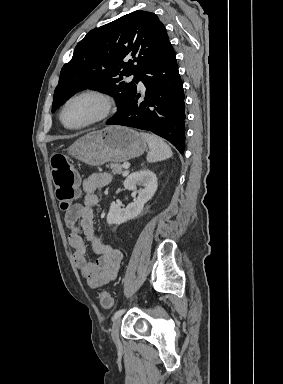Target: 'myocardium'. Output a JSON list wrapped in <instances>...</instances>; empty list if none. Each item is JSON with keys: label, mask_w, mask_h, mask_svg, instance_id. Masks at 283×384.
Returning <instances> with one entry per match:
<instances>
[{"label": "myocardium", "mask_w": 283, "mask_h": 384, "mask_svg": "<svg viewBox=\"0 0 283 384\" xmlns=\"http://www.w3.org/2000/svg\"><path fill=\"white\" fill-rule=\"evenodd\" d=\"M89 97L98 103L97 113L89 121L78 126H67L64 123V112L68 105L79 98ZM114 103L109 94L98 89H85L69 96L60 111V122L68 130H82L108 119L113 113Z\"/></svg>", "instance_id": "myocardium-1"}]
</instances>
